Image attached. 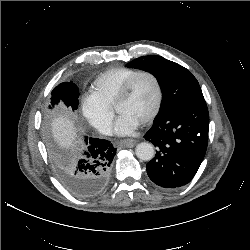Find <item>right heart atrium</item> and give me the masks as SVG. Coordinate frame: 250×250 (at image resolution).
Masks as SVG:
<instances>
[{
    "mask_svg": "<svg viewBox=\"0 0 250 250\" xmlns=\"http://www.w3.org/2000/svg\"><path fill=\"white\" fill-rule=\"evenodd\" d=\"M84 120L102 134H108L113 119V112L109 107L102 105L91 95L84 97L81 105Z\"/></svg>",
    "mask_w": 250,
    "mask_h": 250,
    "instance_id": "right-heart-atrium-1",
    "label": "right heart atrium"
}]
</instances>
